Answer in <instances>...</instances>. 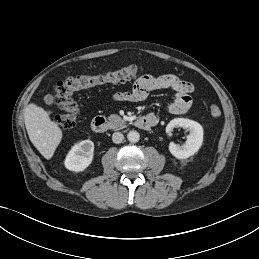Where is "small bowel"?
Returning <instances> with one entry per match:
<instances>
[{"label": "small bowel", "instance_id": "obj_1", "mask_svg": "<svg viewBox=\"0 0 259 259\" xmlns=\"http://www.w3.org/2000/svg\"><path fill=\"white\" fill-rule=\"evenodd\" d=\"M164 89L172 90L175 93V98L169 105L171 113L182 114L191 107L193 85L173 74L143 75L134 82L131 90L115 93L114 99L117 101L142 102L150 92ZM149 116L156 117V114L150 113Z\"/></svg>", "mask_w": 259, "mask_h": 259}]
</instances>
